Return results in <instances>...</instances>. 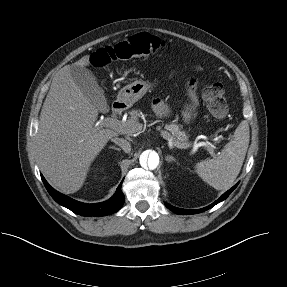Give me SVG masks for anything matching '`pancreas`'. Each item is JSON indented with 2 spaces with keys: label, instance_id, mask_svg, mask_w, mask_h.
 Segmentation results:
<instances>
[{
  "label": "pancreas",
  "instance_id": "cf45deb5",
  "mask_svg": "<svg viewBox=\"0 0 287 287\" xmlns=\"http://www.w3.org/2000/svg\"><path fill=\"white\" fill-rule=\"evenodd\" d=\"M129 119L124 123V128L122 131L127 133H133L140 131L141 124L139 123V118H143L144 114L139 112L138 110H132L129 112ZM170 133L169 136L172 138L173 142L186 143L188 141L189 136L185 131L182 130V126L177 124V120L170 122L169 124H165L164 127Z\"/></svg>",
  "mask_w": 287,
  "mask_h": 287
}]
</instances>
